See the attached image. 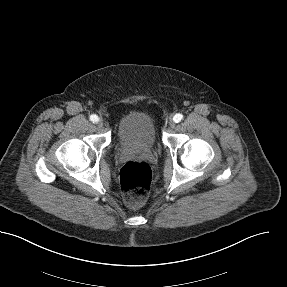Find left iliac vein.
Returning <instances> with one entry per match:
<instances>
[{
    "label": "left iliac vein",
    "mask_w": 287,
    "mask_h": 287,
    "mask_svg": "<svg viewBox=\"0 0 287 287\" xmlns=\"http://www.w3.org/2000/svg\"><path fill=\"white\" fill-rule=\"evenodd\" d=\"M175 125H176V124H175V122H174V121H172V120H171V121L169 122V126H170V128H174V127H175Z\"/></svg>",
    "instance_id": "obj_1"
}]
</instances>
